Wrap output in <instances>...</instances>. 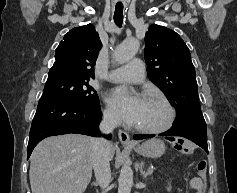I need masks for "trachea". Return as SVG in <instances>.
I'll list each match as a JSON object with an SVG mask.
<instances>
[{
	"label": "trachea",
	"instance_id": "1",
	"mask_svg": "<svg viewBox=\"0 0 237 193\" xmlns=\"http://www.w3.org/2000/svg\"><path fill=\"white\" fill-rule=\"evenodd\" d=\"M114 22L118 27H122L123 22V7L116 6L114 12Z\"/></svg>",
	"mask_w": 237,
	"mask_h": 193
}]
</instances>
